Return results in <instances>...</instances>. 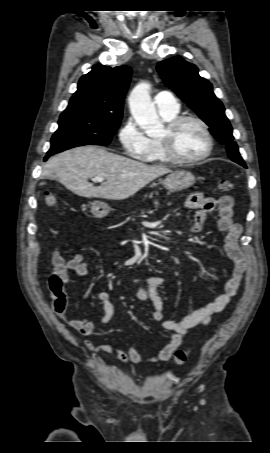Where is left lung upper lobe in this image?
I'll return each instance as SVG.
<instances>
[{
	"instance_id": "left-lung-upper-lobe-1",
	"label": "left lung upper lobe",
	"mask_w": 270,
	"mask_h": 453,
	"mask_svg": "<svg viewBox=\"0 0 270 453\" xmlns=\"http://www.w3.org/2000/svg\"><path fill=\"white\" fill-rule=\"evenodd\" d=\"M157 70L165 84L209 125L211 134L226 146L229 158L246 167L233 141L224 106L213 93L211 83L199 75L198 68L180 57H173L158 63Z\"/></svg>"
}]
</instances>
